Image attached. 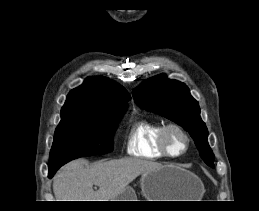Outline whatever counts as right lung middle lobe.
<instances>
[{
    "label": "right lung middle lobe",
    "mask_w": 259,
    "mask_h": 211,
    "mask_svg": "<svg viewBox=\"0 0 259 211\" xmlns=\"http://www.w3.org/2000/svg\"><path fill=\"white\" fill-rule=\"evenodd\" d=\"M124 113L74 111L61 115L49 158V169L82 156L113 150V135Z\"/></svg>",
    "instance_id": "obj_1"
}]
</instances>
